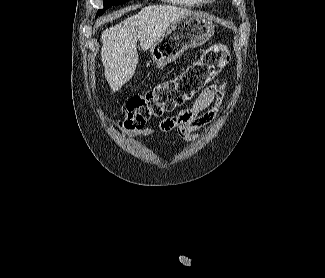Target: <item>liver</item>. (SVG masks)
Segmentation results:
<instances>
[{
    "label": "liver",
    "mask_w": 325,
    "mask_h": 278,
    "mask_svg": "<svg viewBox=\"0 0 325 278\" xmlns=\"http://www.w3.org/2000/svg\"><path fill=\"white\" fill-rule=\"evenodd\" d=\"M191 14L194 13L186 8L151 5L104 30L101 34V61L111 91L120 90L134 75L138 63L137 39L146 51L166 33L172 23Z\"/></svg>",
    "instance_id": "obj_1"
}]
</instances>
